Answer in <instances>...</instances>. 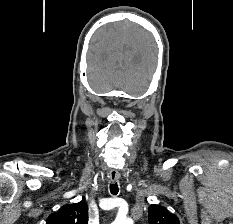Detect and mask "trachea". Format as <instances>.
I'll use <instances>...</instances> for the list:
<instances>
[{
	"label": "trachea",
	"mask_w": 233,
	"mask_h": 224,
	"mask_svg": "<svg viewBox=\"0 0 233 224\" xmlns=\"http://www.w3.org/2000/svg\"><path fill=\"white\" fill-rule=\"evenodd\" d=\"M119 191L117 183L110 184V192L113 195H117Z\"/></svg>",
	"instance_id": "3493384b"
}]
</instances>
